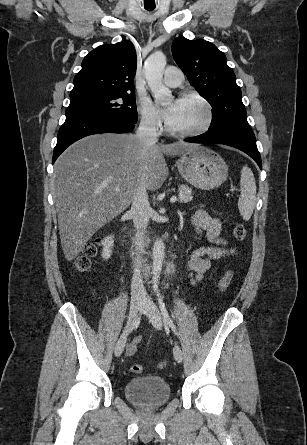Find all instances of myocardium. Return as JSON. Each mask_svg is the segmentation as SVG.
<instances>
[{
	"label": "myocardium",
	"mask_w": 307,
	"mask_h": 445,
	"mask_svg": "<svg viewBox=\"0 0 307 445\" xmlns=\"http://www.w3.org/2000/svg\"><path fill=\"white\" fill-rule=\"evenodd\" d=\"M180 99L195 100V101L199 102L204 107V109L206 111V119L203 122V124L200 125L199 127L192 129V130H187V131L175 130L170 126L169 122H167V124H166L167 131L174 135L190 137V138H196V137L201 136L202 134H205L206 132H208L213 127V125L215 123V119H216V113H215V109H214L213 105L204 96H202L201 94H199L197 92L183 93L180 96Z\"/></svg>",
	"instance_id": "1"
}]
</instances>
